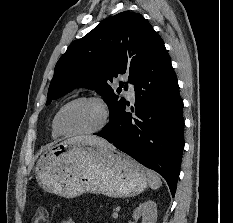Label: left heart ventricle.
I'll list each match as a JSON object with an SVG mask.
<instances>
[{
  "label": "left heart ventricle",
  "instance_id": "1",
  "mask_svg": "<svg viewBox=\"0 0 233 223\" xmlns=\"http://www.w3.org/2000/svg\"><path fill=\"white\" fill-rule=\"evenodd\" d=\"M103 123L100 106L90 101H80L70 105L61 116V127L70 133L89 132Z\"/></svg>",
  "mask_w": 233,
  "mask_h": 223
}]
</instances>
